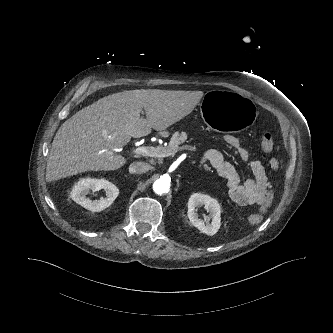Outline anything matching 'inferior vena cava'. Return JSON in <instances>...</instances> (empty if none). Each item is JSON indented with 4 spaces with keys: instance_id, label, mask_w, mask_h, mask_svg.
Returning <instances> with one entry per match:
<instances>
[{
    "instance_id": "obj_1",
    "label": "inferior vena cava",
    "mask_w": 333,
    "mask_h": 333,
    "mask_svg": "<svg viewBox=\"0 0 333 333\" xmlns=\"http://www.w3.org/2000/svg\"><path fill=\"white\" fill-rule=\"evenodd\" d=\"M150 168H151V166L148 163L137 161V162H133L130 164L129 172L141 174V173H145V172L149 171Z\"/></svg>"
}]
</instances>
